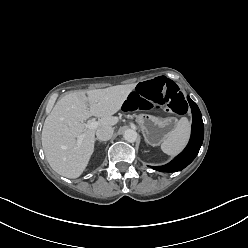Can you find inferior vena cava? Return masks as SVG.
Returning <instances> with one entry per match:
<instances>
[{"mask_svg": "<svg viewBox=\"0 0 248 248\" xmlns=\"http://www.w3.org/2000/svg\"><path fill=\"white\" fill-rule=\"evenodd\" d=\"M113 128L111 126H102L97 129L96 136L100 141H108L113 136Z\"/></svg>", "mask_w": 248, "mask_h": 248, "instance_id": "inferior-vena-cava-1", "label": "inferior vena cava"}]
</instances>
